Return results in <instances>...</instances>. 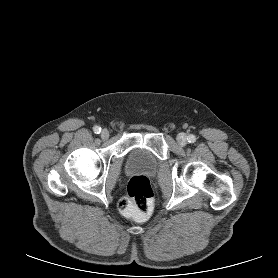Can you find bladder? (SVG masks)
Returning <instances> with one entry per match:
<instances>
[{
	"label": "bladder",
	"mask_w": 278,
	"mask_h": 278,
	"mask_svg": "<svg viewBox=\"0 0 278 278\" xmlns=\"http://www.w3.org/2000/svg\"><path fill=\"white\" fill-rule=\"evenodd\" d=\"M158 164L155 154L145 147H134L127 154L126 170L130 173L154 174L158 169Z\"/></svg>",
	"instance_id": "bladder-1"
}]
</instances>
